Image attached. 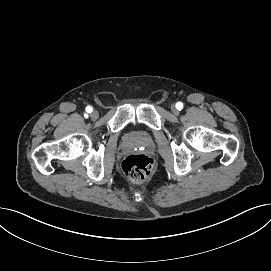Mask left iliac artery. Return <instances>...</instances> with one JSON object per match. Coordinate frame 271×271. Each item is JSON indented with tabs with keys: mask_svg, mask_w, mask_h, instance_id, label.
I'll list each match as a JSON object with an SVG mask.
<instances>
[{
	"mask_svg": "<svg viewBox=\"0 0 271 271\" xmlns=\"http://www.w3.org/2000/svg\"><path fill=\"white\" fill-rule=\"evenodd\" d=\"M176 108L180 111L183 108V103L182 102H178L176 104Z\"/></svg>",
	"mask_w": 271,
	"mask_h": 271,
	"instance_id": "44dca946",
	"label": "left iliac artery"
}]
</instances>
